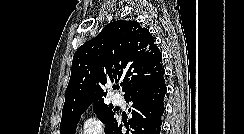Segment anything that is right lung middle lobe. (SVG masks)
<instances>
[{"label": "right lung middle lobe", "instance_id": "right-lung-middle-lobe-1", "mask_svg": "<svg viewBox=\"0 0 244 134\" xmlns=\"http://www.w3.org/2000/svg\"><path fill=\"white\" fill-rule=\"evenodd\" d=\"M93 111L99 120L105 124L106 131L111 123L115 120L116 108H114L112 105L101 103L99 105L93 106ZM82 113L73 117L61 119L60 134H75L76 127Z\"/></svg>", "mask_w": 244, "mask_h": 134}]
</instances>
